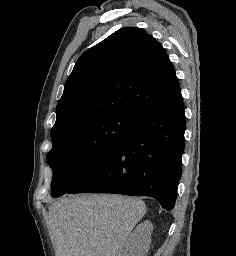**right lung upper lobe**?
Masks as SVG:
<instances>
[{
    "label": "right lung upper lobe",
    "mask_w": 236,
    "mask_h": 256,
    "mask_svg": "<svg viewBox=\"0 0 236 256\" xmlns=\"http://www.w3.org/2000/svg\"><path fill=\"white\" fill-rule=\"evenodd\" d=\"M180 92L162 45L141 28L125 27L78 59L57 104L51 134L116 113L139 120Z\"/></svg>",
    "instance_id": "1"
}]
</instances>
